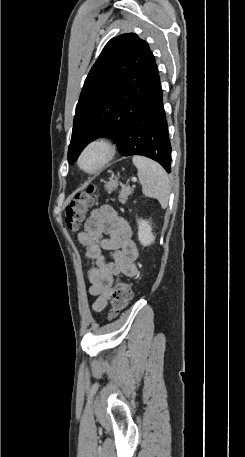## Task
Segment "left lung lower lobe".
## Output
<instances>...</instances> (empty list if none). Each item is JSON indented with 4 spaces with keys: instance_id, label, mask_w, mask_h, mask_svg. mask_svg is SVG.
<instances>
[{
    "instance_id": "1",
    "label": "left lung lower lobe",
    "mask_w": 245,
    "mask_h": 457,
    "mask_svg": "<svg viewBox=\"0 0 245 457\" xmlns=\"http://www.w3.org/2000/svg\"><path fill=\"white\" fill-rule=\"evenodd\" d=\"M99 137L115 139L122 156H145L171 172V144L159 75L143 105L123 114L110 130L95 138Z\"/></svg>"
}]
</instances>
